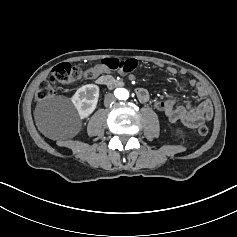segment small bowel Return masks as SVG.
<instances>
[{"label":"small bowel","mask_w":237,"mask_h":237,"mask_svg":"<svg viewBox=\"0 0 237 237\" xmlns=\"http://www.w3.org/2000/svg\"><path fill=\"white\" fill-rule=\"evenodd\" d=\"M166 71L169 74H176L177 70L174 67L168 66L166 67ZM109 69L105 67L103 64L99 63L92 68L84 71L83 76L86 79H94L100 75L108 73ZM182 73H186V71H182ZM191 87L196 88L197 94L202 101L198 105L191 104H177L174 100H155L153 102V107L164 114L167 119L171 123H180L187 128H197L205 121H209L213 117V105L212 102L206 98L207 91L205 86L192 79L189 82ZM135 94L137 99L143 103L147 104L150 102V94L149 92L142 87H139L135 90Z\"/></svg>","instance_id":"small-bowel-1"}]
</instances>
